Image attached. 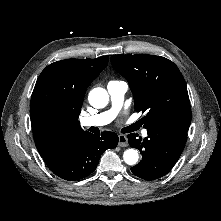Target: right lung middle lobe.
<instances>
[{
  "instance_id": "right-lung-middle-lobe-1",
  "label": "right lung middle lobe",
  "mask_w": 221,
  "mask_h": 221,
  "mask_svg": "<svg viewBox=\"0 0 221 221\" xmlns=\"http://www.w3.org/2000/svg\"><path fill=\"white\" fill-rule=\"evenodd\" d=\"M39 78L31 101L40 108L52 113L72 115L74 117L81 113L82 104L74 99L72 92L62 81L50 75Z\"/></svg>"
}]
</instances>
